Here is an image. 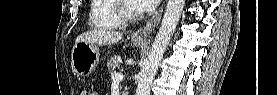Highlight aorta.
Here are the masks:
<instances>
[{"instance_id": "obj_1", "label": "aorta", "mask_w": 277, "mask_h": 95, "mask_svg": "<svg viewBox=\"0 0 277 95\" xmlns=\"http://www.w3.org/2000/svg\"><path fill=\"white\" fill-rule=\"evenodd\" d=\"M184 4L185 0H168L158 33L139 73L136 95H150L153 78L179 22Z\"/></svg>"}]
</instances>
